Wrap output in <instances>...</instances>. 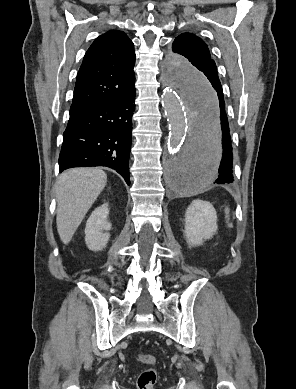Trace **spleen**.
Masks as SVG:
<instances>
[{
    "label": "spleen",
    "instance_id": "3e777b00",
    "mask_svg": "<svg viewBox=\"0 0 296 389\" xmlns=\"http://www.w3.org/2000/svg\"><path fill=\"white\" fill-rule=\"evenodd\" d=\"M225 213H226V218H228V214H229V209L228 208L225 210Z\"/></svg>",
    "mask_w": 296,
    "mask_h": 389
}]
</instances>
